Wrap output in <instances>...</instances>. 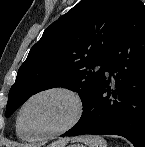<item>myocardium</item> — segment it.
I'll return each mask as SVG.
<instances>
[{"mask_svg":"<svg viewBox=\"0 0 145 147\" xmlns=\"http://www.w3.org/2000/svg\"><path fill=\"white\" fill-rule=\"evenodd\" d=\"M49 94H61L71 99L75 107L74 114L72 118L64 126L58 129H55L49 132L40 133V134H34V135L24 133L25 136L29 138L30 140H42V139H47V138L64 134L68 132L69 130H71L73 127H75L79 123V121L81 120L84 114V109H85L84 101L81 95L76 90L66 86H51V87L41 89L37 92H34L23 101V103L21 104L18 110L17 117H16L17 130H19L20 132H23L22 131V116L26 107L35 99L45 95H49Z\"/></svg>","mask_w":145,"mask_h":147,"instance_id":"1","label":"myocardium"}]
</instances>
